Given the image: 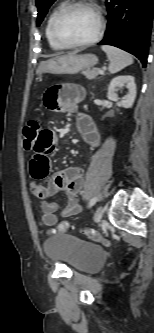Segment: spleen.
Listing matches in <instances>:
<instances>
[{
  "instance_id": "3e777b00",
  "label": "spleen",
  "mask_w": 154,
  "mask_h": 333,
  "mask_svg": "<svg viewBox=\"0 0 154 333\" xmlns=\"http://www.w3.org/2000/svg\"><path fill=\"white\" fill-rule=\"evenodd\" d=\"M102 50L106 53L109 64V72L115 74L133 63V57L116 47L102 45Z\"/></svg>"
}]
</instances>
